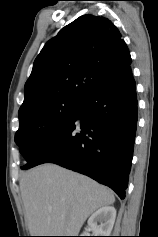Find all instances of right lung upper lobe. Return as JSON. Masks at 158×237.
<instances>
[{
    "label": "right lung upper lobe",
    "instance_id": "cb5924a9",
    "mask_svg": "<svg viewBox=\"0 0 158 237\" xmlns=\"http://www.w3.org/2000/svg\"><path fill=\"white\" fill-rule=\"evenodd\" d=\"M131 62L126 43L109 19L80 16L49 40L35 59L19 115L57 98L83 101Z\"/></svg>",
    "mask_w": 158,
    "mask_h": 237
}]
</instances>
